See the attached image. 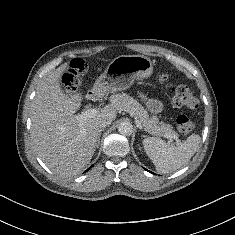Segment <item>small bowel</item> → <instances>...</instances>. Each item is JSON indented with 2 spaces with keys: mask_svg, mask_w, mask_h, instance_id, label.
<instances>
[{
  "mask_svg": "<svg viewBox=\"0 0 235 235\" xmlns=\"http://www.w3.org/2000/svg\"><path fill=\"white\" fill-rule=\"evenodd\" d=\"M142 100L145 102L146 106L152 111V112H160L162 110V104L156 99H150L147 98L144 95H140Z\"/></svg>",
  "mask_w": 235,
  "mask_h": 235,
  "instance_id": "1",
  "label": "small bowel"
}]
</instances>
